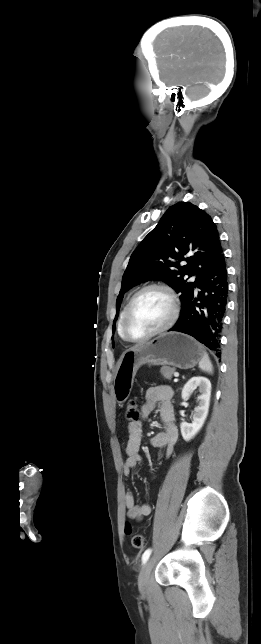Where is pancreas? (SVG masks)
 Instances as JSON below:
<instances>
[{
  "instance_id": "cf45deb5",
  "label": "pancreas",
  "mask_w": 261,
  "mask_h": 644,
  "mask_svg": "<svg viewBox=\"0 0 261 644\" xmlns=\"http://www.w3.org/2000/svg\"><path fill=\"white\" fill-rule=\"evenodd\" d=\"M174 373H175L174 368H170V367H167V366L161 368V374L164 376V378H166L168 380H171L172 375Z\"/></svg>"
}]
</instances>
